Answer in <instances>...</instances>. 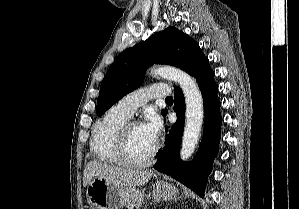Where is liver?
<instances>
[{
  "label": "liver",
  "mask_w": 299,
  "mask_h": 209,
  "mask_svg": "<svg viewBox=\"0 0 299 209\" xmlns=\"http://www.w3.org/2000/svg\"><path fill=\"white\" fill-rule=\"evenodd\" d=\"M152 174L151 170L126 169L92 160L85 167L83 185L87 186L93 178L98 177L117 186H143L150 180Z\"/></svg>",
  "instance_id": "obj_1"
}]
</instances>
